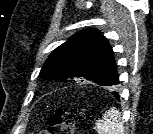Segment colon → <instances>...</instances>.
<instances>
[{"label":"colon","instance_id":"1","mask_svg":"<svg viewBox=\"0 0 153 134\" xmlns=\"http://www.w3.org/2000/svg\"><path fill=\"white\" fill-rule=\"evenodd\" d=\"M74 124L69 112L57 109L48 120V128L38 134H73Z\"/></svg>","mask_w":153,"mask_h":134}]
</instances>
